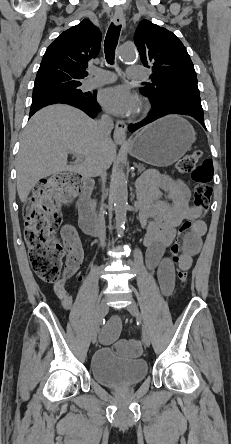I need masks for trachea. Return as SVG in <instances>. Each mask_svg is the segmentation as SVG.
<instances>
[{"label": "trachea", "instance_id": "trachea-1", "mask_svg": "<svg viewBox=\"0 0 231 444\" xmlns=\"http://www.w3.org/2000/svg\"><path fill=\"white\" fill-rule=\"evenodd\" d=\"M120 30H121V25L115 26L113 23H111L106 34V38L104 41V52H105L106 61L109 64L114 63L115 49L118 44Z\"/></svg>", "mask_w": 231, "mask_h": 444}]
</instances>
